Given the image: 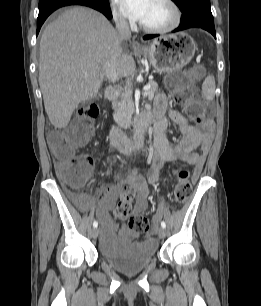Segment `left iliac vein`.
Segmentation results:
<instances>
[{
    "label": "left iliac vein",
    "mask_w": 261,
    "mask_h": 306,
    "mask_svg": "<svg viewBox=\"0 0 261 306\" xmlns=\"http://www.w3.org/2000/svg\"><path fill=\"white\" fill-rule=\"evenodd\" d=\"M158 235H159L160 238H165V236H166V230H165V228L159 227V228H158Z\"/></svg>",
    "instance_id": "4c4485c4"
}]
</instances>
